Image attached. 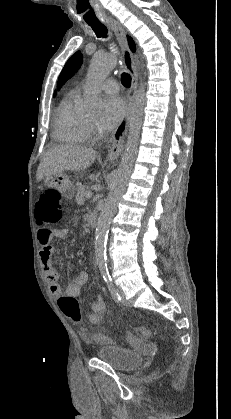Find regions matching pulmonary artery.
I'll return each instance as SVG.
<instances>
[{"instance_id":"pulmonary-artery-1","label":"pulmonary artery","mask_w":231,"mask_h":419,"mask_svg":"<svg viewBox=\"0 0 231 419\" xmlns=\"http://www.w3.org/2000/svg\"><path fill=\"white\" fill-rule=\"evenodd\" d=\"M100 88L110 94H115L118 92L119 86L114 79H106L100 83Z\"/></svg>"}]
</instances>
